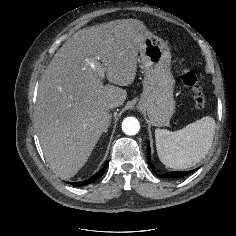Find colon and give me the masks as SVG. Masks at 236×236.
Instances as JSON below:
<instances>
[{
	"label": "colon",
	"mask_w": 236,
	"mask_h": 236,
	"mask_svg": "<svg viewBox=\"0 0 236 236\" xmlns=\"http://www.w3.org/2000/svg\"><path fill=\"white\" fill-rule=\"evenodd\" d=\"M181 80L192 92L194 105L203 108L207 103V96L202 88L199 76L189 68H183Z\"/></svg>",
	"instance_id": "5ec220e1"
}]
</instances>
